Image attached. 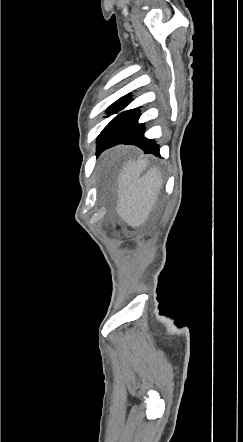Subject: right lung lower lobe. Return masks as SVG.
<instances>
[{"instance_id":"right-lung-lower-lobe-1","label":"right lung lower lobe","mask_w":243,"mask_h":442,"mask_svg":"<svg viewBox=\"0 0 243 442\" xmlns=\"http://www.w3.org/2000/svg\"><path fill=\"white\" fill-rule=\"evenodd\" d=\"M129 97L124 98L111 112L115 114L126 107ZM139 110L132 109L116 116L100 133L97 138V153L117 144H132L140 147L144 153L159 156L158 144L144 137V126L138 123Z\"/></svg>"}]
</instances>
